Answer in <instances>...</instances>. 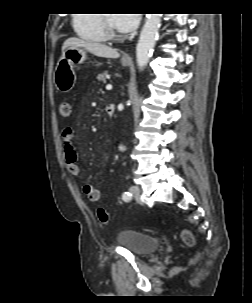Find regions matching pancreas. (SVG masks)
Returning a JSON list of instances; mask_svg holds the SVG:
<instances>
[{"label": "pancreas", "mask_w": 252, "mask_h": 303, "mask_svg": "<svg viewBox=\"0 0 252 303\" xmlns=\"http://www.w3.org/2000/svg\"><path fill=\"white\" fill-rule=\"evenodd\" d=\"M106 76H107V73L106 72H104V73H100V74H98L97 75V80L98 81H105V79H106Z\"/></svg>", "instance_id": "cf45deb5"}]
</instances>
